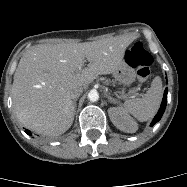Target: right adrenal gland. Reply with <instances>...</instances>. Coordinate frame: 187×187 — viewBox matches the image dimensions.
Wrapping results in <instances>:
<instances>
[{"label": "right adrenal gland", "mask_w": 187, "mask_h": 187, "mask_svg": "<svg viewBox=\"0 0 187 187\" xmlns=\"http://www.w3.org/2000/svg\"><path fill=\"white\" fill-rule=\"evenodd\" d=\"M76 101H77V99H74V106H76Z\"/></svg>", "instance_id": "right-adrenal-gland-1"}]
</instances>
